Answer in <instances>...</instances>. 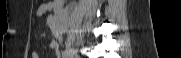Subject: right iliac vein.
I'll return each instance as SVG.
<instances>
[{
	"label": "right iliac vein",
	"mask_w": 181,
	"mask_h": 58,
	"mask_svg": "<svg viewBox=\"0 0 181 58\" xmlns=\"http://www.w3.org/2000/svg\"><path fill=\"white\" fill-rule=\"evenodd\" d=\"M66 53L68 58H78L76 52L68 42H66Z\"/></svg>",
	"instance_id": "obj_1"
}]
</instances>
